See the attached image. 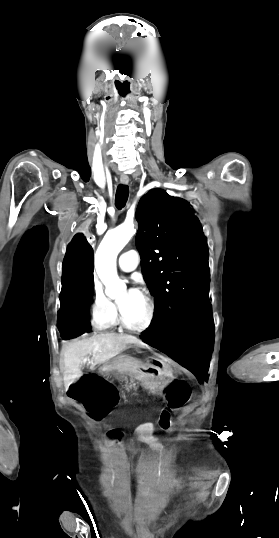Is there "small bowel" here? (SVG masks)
<instances>
[{
  "mask_svg": "<svg viewBox=\"0 0 279 538\" xmlns=\"http://www.w3.org/2000/svg\"><path fill=\"white\" fill-rule=\"evenodd\" d=\"M161 397L165 400L167 407L161 413L159 424L161 428L170 430L172 428L171 413L185 406L191 397L185 381L173 378L163 382V387L159 390ZM138 434L145 441L160 446L158 438L154 434V425L146 423L138 428Z\"/></svg>",
  "mask_w": 279,
  "mask_h": 538,
  "instance_id": "1",
  "label": "small bowel"
}]
</instances>
